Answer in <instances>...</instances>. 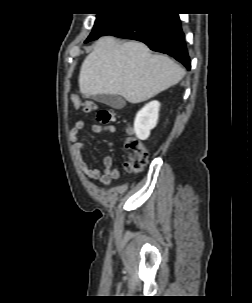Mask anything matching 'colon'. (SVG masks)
I'll return each instance as SVG.
<instances>
[{
    "label": "colon",
    "mask_w": 252,
    "mask_h": 303,
    "mask_svg": "<svg viewBox=\"0 0 252 303\" xmlns=\"http://www.w3.org/2000/svg\"><path fill=\"white\" fill-rule=\"evenodd\" d=\"M72 105L75 109L93 110L96 108V104L93 101H87L82 103L77 96L72 97ZM114 112L112 110H99L97 113V120L102 124H108L114 120ZM124 149L127 155V161L124 163V169L127 172L139 171L147 160V151L144 145L137 140L131 129L125 138Z\"/></svg>",
    "instance_id": "colon-1"
}]
</instances>
